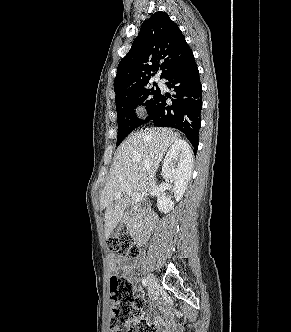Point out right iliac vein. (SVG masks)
Here are the masks:
<instances>
[{"label": "right iliac vein", "instance_id": "right-iliac-vein-1", "mask_svg": "<svg viewBox=\"0 0 291 332\" xmlns=\"http://www.w3.org/2000/svg\"><path fill=\"white\" fill-rule=\"evenodd\" d=\"M147 282H148V291H149V294L150 295H153L155 290H156V287H157V281L154 277L153 274H148L147 276Z\"/></svg>", "mask_w": 291, "mask_h": 332}]
</instances>
